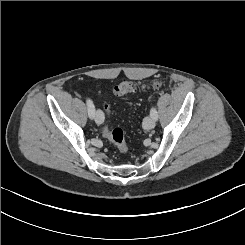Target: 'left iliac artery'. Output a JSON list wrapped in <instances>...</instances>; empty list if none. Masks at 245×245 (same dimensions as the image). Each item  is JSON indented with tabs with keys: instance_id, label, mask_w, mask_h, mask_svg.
<instances>
[{
	"instance_id": "obj_1",
	"label": "left iliac artery",
	"mask_w": 245,
	"mask_h": 245,
	"mask_svg": "<svg viewBox=\"0 0 245 245\" xmlns=\"http://www.w3.org/2000/svg\"><path fill=\"white\" fill-rule=\"evenodd\" d=\"M150 115L154 120H157L158 118V113L155 107H152L150 110Z\"/></svg>"
}]
</instances>
